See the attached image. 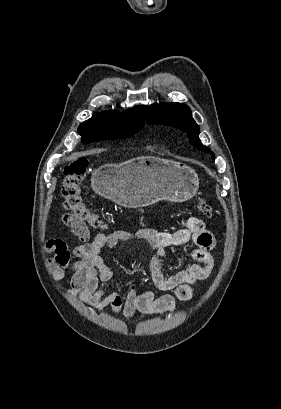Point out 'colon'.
<instances>
[{
  "label": "colon",
  "mask_w": 281,
  "mask_h": 409,
  "mask_svg": "<svg viewBox=\"0 0 281 409\" xmlns=\"http://www.w3.org/2000/svg\"><path fill=\"white\" fill-rule=\"evenodd\" d=\"M87 168L88 159L86 157L75 158L64 167L65 179L61 189L65 197L64 208L73 216L77 232L83 230L84 224L97 229L105 226L101 216L84 202L82 181ZM197 207L204 216L212 217V208L207 201L200 198Z\"/></svg>",
  "instance_id": "colon-1"
}]
</instances>
